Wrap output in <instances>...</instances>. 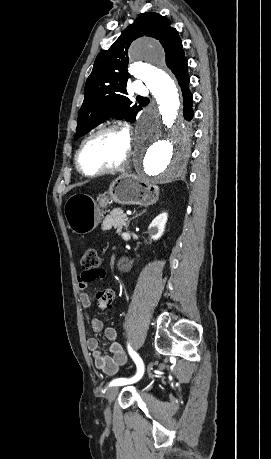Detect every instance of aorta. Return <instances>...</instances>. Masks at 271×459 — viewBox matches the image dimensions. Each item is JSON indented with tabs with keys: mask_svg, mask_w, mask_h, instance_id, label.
I'll return each instance as SVG.
<instances>
[{
	"mask_svg": "<svg viewBox=\"0 0 271 459\" xmlns=\"http://www.w3.org/2000/svg\"><path fill=\"white\" fill-rule=\"evenodd\" d=\"M129 57L134 61L130 72L153 95L137 126L133 166L144 180L170 181L184 170L191 143V133L180 117L177 83L166 69L158 41L147 37L134 41Z\"/></svg>",
	"mask_w": 271,
	"mask_h": 459,
	"instance_id": "aorta-1",
	"label": "aorta"
}]
</instances>
